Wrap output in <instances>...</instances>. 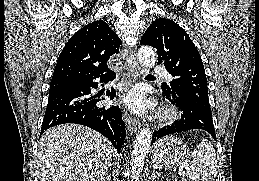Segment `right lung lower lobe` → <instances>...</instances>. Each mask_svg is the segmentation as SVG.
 I'll use <instances>...</instances> for the list:
<instances>
[{
	"mask_svg": "<svg viewBox=\"0 0 259 181\" xmlns=\"http://www.w3.org/2000/svg\"><path fill=\"white\" fill-rule=\"evenodd\" d=\"M115 77V72L109 69L104 73L75 77L57 85L49 92L40 134L59 124H81L107 137L119 151L126 136L121 110L118 106L97 107L99 99L91 95V89L98 87L95 79L108 83ZM106 95L113 99L115 90L107 91Z\"/></svg>",
	"mask_w": 259,
	"mask_h": 181,
	"instance_id": "1",
	"label": "right lung lower lobe"
}]
</instances>
